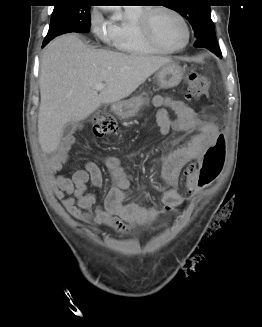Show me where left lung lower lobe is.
<instances>
[{
  "instance_id": "0a47b994",
  "label": "left lung lower lobe",
  "mask_w": 262,
  "mask_h": 327,
  "mask_svg": "<svg viewBox=\"0 0 262 327\" xmlns=\"http://www.w3.org/2000/svg\"><path fill=\"white\" fill-rule=\"evenodd\" d=\"M194 46L207 48L217 54L220 58L222 57L220 48L217 44L215 30H209L198 38H196Z\"/></svg>"
}]
</instances>
